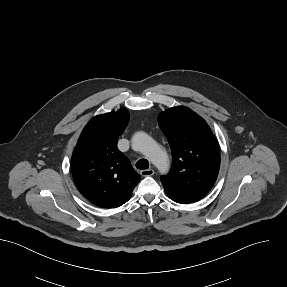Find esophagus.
Returning a JSON list of instances; mask_svg holds the SVG:
<instances>
[{"label":"esophagus","mask_w":287,"mask_h":287,"mask_svg":"<svg viewBox=\"0 0 287 287\" xmlns=\"http://www.w3.org/2000/svg\"><path fill=\"white\" fill-rule=\"evenodd\" d=\"M140 174L142 176H152V175H154V170L153 169L142 170V171H140Z\"/></svg>","instance_id":"1"}]
</instances>
